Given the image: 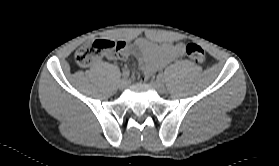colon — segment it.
Segmentation results:
<instances>
[{"instance_id":"colon-1","label":"colon","mask_w":279,"mask_h":166,"mask_svg":"<svg viewBox=\"0 0 279 166\" xmlns=\"http://www.w3.org/2000/svg\"><path fill=\"white\" fill-rule=\"evenodd\" d=\"M126 43L109 39H94L80 47L75 53L76 63L81 67L94 64L104 55L117 54L125 50ZM187 56L196 64L204 63L206 54L204 49L195 43H190L185 48Z\"/></svg>"}]
</instances>
